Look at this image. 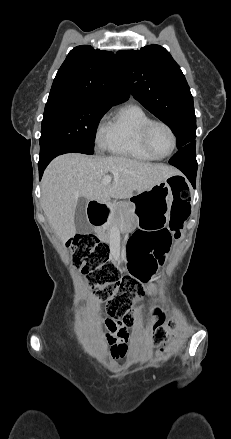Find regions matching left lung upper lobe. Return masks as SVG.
<instances>
[{"label": "left lung upper lobe", "instance_id": "obj_1", "mask_svg": "<svg viewBox=\"0 0 231 439\" xmlns=\"http://www.w3.org/2000/svg\"><path fill=\"white\" fill-rule=\"evenodd\" d=\"M116 58L131 94L170 127L177 138V148L194 141L193 97L170 53L162 46L152 44L140 50H120Z\"/></svg>", "mask_w": 231, "mask_h": 439}]
</instances>
